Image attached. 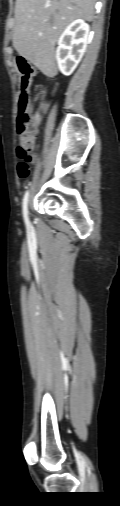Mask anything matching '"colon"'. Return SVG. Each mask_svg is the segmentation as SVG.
Segmentation results:
<instances>
[{
	"instance_id": "5ec220e1",
	"label": "colon",
	"mask_w": 120,
	"mask_h": 506,
	"mask_svg": "<svg viewBox=\"0 0 120 506\" xmlns=\"http://www.w3.org/2000/svg\"><path fill=\"white\" fill-rule=\"evenodd\" d=\"M15 62L21 72V89L22 94L19 98L18 110L19 115L17 118V131L19 134V147L17 155L19 162L17 165V172L21 178H26L30 172L31 152L35 147L36 134L35 127L37 126L36 114L33 113L30 103V97L27 89L31 83V75L33 68L27 62L25 52L20 50L16 54Z\"/></svg>"
}]
</instances>
